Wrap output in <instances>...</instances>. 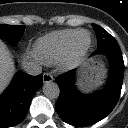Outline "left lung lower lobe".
Instances as JSON below:
<instances>
[{"mask_svg": "<svg viewBox=\"0 0 128 128\" xmlns=\"http://www.w3.org/2000/svg\"><path fill=\"white\" fill-rule=\"evenodd\" d=\"M93 54H105L111 62V74L105 90L92 96L82 95L74 86V71L56 78L60 88L56 110L70 125L86 127L102 120L113 110L120 96L124 61L118 43L99 47Z\"/></svg>", "mask_w": 128, "mask_h": 128, "instance_id": "1", "label": "left lung lower lobe"}]
</instances>
